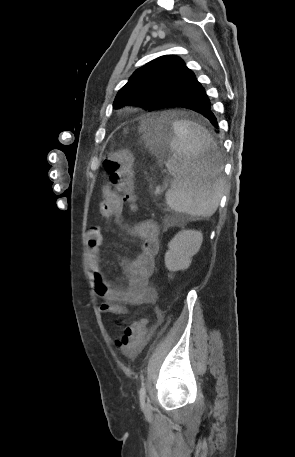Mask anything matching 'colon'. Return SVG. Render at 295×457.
<instances>
[{
  "mask_svg": "<svg viewBox=\"0 0 295 457\" xmlns=\"http://www.w3.org/2000/svg\"><path fill=\"white\" fill-rule=\"evenodd\" d=\"M104 168L109 175L110 183L121 200L135 208L133 158L127 150H117L108 154L104 160ZM146 323L141 319L124 328L123 334L117 340V345L124 352H132L144 342Z\"/></svg>",
  "mask_w": 295,
  "mask_h": 457,
  "instance_id": "colon-1",
  "label": "colon"
}]
</instances>
